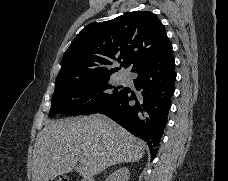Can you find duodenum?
<instances>
[{
    "mask_svg": "<svg viewBox=\"0 0 228 181\" xmlns=\"http://www.w3.org/2000/svg\"><path fill=\"white\" fill-rule=\"evenodd\" d=\"M75 178H76V179H81V178H82V175H81V174H76V175H75Z\"/></svg>",
    "mask_w": 228,
    "mask_h": 181,
    "instance_id": "obj_1",
    "label": "duodenum"
}]
</instances>
